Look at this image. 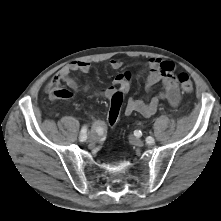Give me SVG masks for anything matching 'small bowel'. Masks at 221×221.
Segmentation results:
<instances>
[{"mask_svg":"<svg viewBox=\"0 0 221 221\" xmlns=\"http://www.w3.org/2000/svg\"><path fill=\"white\" fill-rule=\"evenodd\" d=\"M123 63L118 59H112L109 66L113 70H119ZM148 74L145 79V90L151 91L154 86L161 84L162 91L153 96L149 101L131 97L127 100L125 113L130 115L139 113L145 117H150L156 113L161 101H166L171 107H177L180 103V89L174 77L175 66L172 62L159 58H151L147 62ZM91 71V63L88 61H74L58 71L54 76V80L65 83L73 91L79 89L78 82L71 76L73 72L89 73ZM128 72H121L116 75L111 85L96 92V96L110 98L118 89H124L125 93L130 88V78ZM85 91H89V87H84ZM98 132L101 131L100 124H97Z\"/></svg>","mask_w":221,"mask_h":221,"instance_id":"small-bowel-1","label":"small bowel"}]
</instances>
